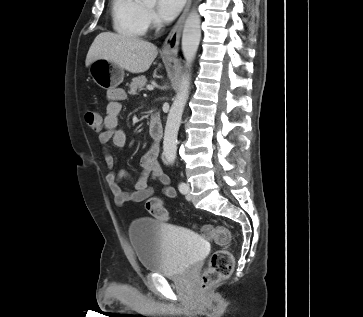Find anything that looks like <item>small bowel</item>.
I'll use <instances>...</instances> for the list:
<instances>
[{"label": "small bowel", "mask_w": 363, "mask_h": 317, "mask_svg": "<svg viewBox=\"0 0 363 317\" xmlns=\"http://www.w3.org/2000/svg\"><path fill=\"white\" fill-rule=\"evenodd\" d=\"M125 97L126 93L121 88L112 89L108 93L106 115L102 119V131L99 134V142L105 147L111 145L116 149H121L127 143L126 132L119 128L121 102ZM158 156L159 149L153 144L139 160L141 173L135 181L134 190L125 191L120 183L123 180L131 181V176L126 171H114L116 159L112 154L106 153L105 162L111 170L106 176V181L117 205L121 206L127 202H141L150 199L153 196V190L148 185L151 178L159 182L165 197L174 198L176 196V191L170 186V179L164 172Z\"/></svg>", "instance_id": "1"}]
</instances>
